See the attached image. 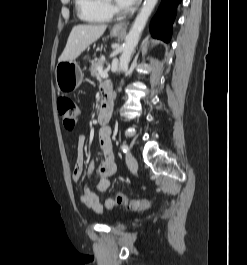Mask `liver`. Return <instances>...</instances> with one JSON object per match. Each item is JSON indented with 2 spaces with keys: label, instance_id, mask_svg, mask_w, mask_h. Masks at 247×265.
Here are the masks:
<instances>
[{
  "label": "liver",
  "instance_id": "obj_1",
  "mask_svg": "<svg viewBox=\"0 0 247 265\" xmlns=\"http://www.w3.org/2000/svg\"><path fill=\"white\" fill-rule=\"evenodd\" d=\"M106 28V25L74 26L58 62L75 60L89 45L103 35Z\"/></svg>",
  "mask_w": 247,
  "mask_h": 265
}]
</instances>
